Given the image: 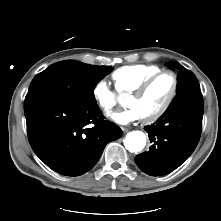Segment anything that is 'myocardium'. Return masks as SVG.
<instances>
[{"label": "myocardium", "mask_w": 221, "mask_h": 221, "mask_svg": "<svg viewBox=\"0 0 221 221\" xmlns=\"http://www.w3.org/2000/svg\"><path fill=\"white\" fill-rule=\"evenodd\" d=\"M164 74H169L172 77V87L170 94L161 108H159L152 115L142 118V121L144 123H153L159 120L169 110L178 92V86H179L178 75L170 69L160 70L159 72L153 74L148 79H146L137 89L131 92L132 96L140 97L145 95L146 92L149 90V88L152 86V84Z\"/></svg>", "instance_id": "myocardium-1"}]
</instances>
